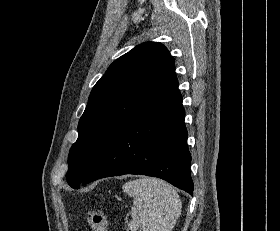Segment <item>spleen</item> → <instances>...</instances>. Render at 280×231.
Instances as JSON below:
<instances>
[{"label": "spleen", "instance_id": "obj_1", "mask_svg": "<svg viewBox=\"0 0 280 231\" xmlns=\"http://www.w3.org/2000/svg\"><path fill=\"white\" fill-rule=\"evenodd\" d=\"M125 193L133 197L131 207L132 221L128 229L137 231H172L181 211V199L175 187L156 179L140 177L127 181L122 187Z\"/></svg>", "mask_w": 280, "mask_h": 231}]
</instances>
